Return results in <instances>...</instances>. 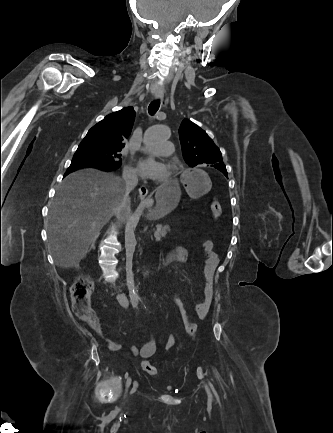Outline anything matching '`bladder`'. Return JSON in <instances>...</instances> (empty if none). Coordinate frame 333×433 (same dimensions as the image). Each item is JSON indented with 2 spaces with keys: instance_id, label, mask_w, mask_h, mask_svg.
Instances as JSON below:
<instances>
[{
  "instance_id": "31cf9c89",
  "label": "bladder",
  "mask_w": 333,
  "mask_h": 433,
  "mask_svg": "<svg viewBox=\"0 0 333 433\" xmlns=\"http://www.w3.org/2000/svg\"><path fill=\"white\" fill-rule=\"evenodd\" d=\"M168 389H169V390H172V388H171V387H169Z\"/></svg>"
}]
</instances>
